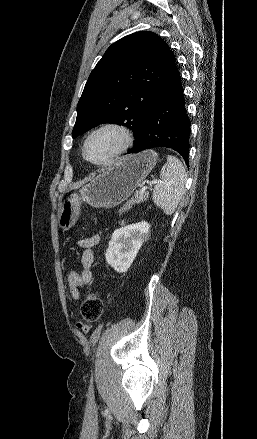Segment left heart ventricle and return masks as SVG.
I'll return each instance as SVG.
<instances>
[{"label": "left heart ventricle", "instance_id": "obj_1", "mask_svg": "<svg viewBox=\"0 0 257 439\" xmlns=\"http://www.w3.org/2000/svg\"><path fill=\"white\" fill-rule=\"evenodd\" d=\"M121 145L119 135L111 130L94 135L87 146V156L93 161H103Z\"/></svg>", "mask_w": 257, "mask_h": 439}]
</instances>
